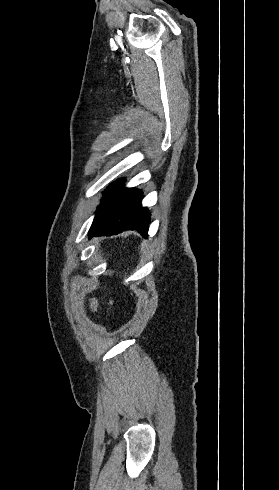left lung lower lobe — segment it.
Returning <instances> with one entry per match:
<instances>
[{
	"label": "left lung lower lobe",
	"instance_id": "0a47b994",
	"mask_svg": "<svg viewBox=\"0 0 279 490\" xmlns=\"http://www.w3.org/2000/svg\"><path fill=\"white\" fill-rule=\"evenodd\" d=\"M142 191L134 188H121L114 209L102 220L92 225L89 236L112 235L125 230H137L147 238L150 212L142 207Z\"/></svg>",
	"mask_w": 279,
	"mask_h": 490
}]
</instances>
